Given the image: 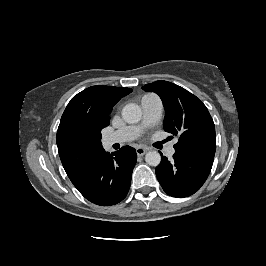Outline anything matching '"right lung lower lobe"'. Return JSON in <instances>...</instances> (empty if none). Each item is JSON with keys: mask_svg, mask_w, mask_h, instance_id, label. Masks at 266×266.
<instances>
[{"mask_svg": "<svg viewBox=\"0 0 266 266\" xmlns=\"http://www.w3.org/2000/svg\"><path fill=\"white\" fill-rule=\"evenodd\" d=\"M136 160V151L130 146H124L112 154L105 152L88 181L78 189L79 192L97 205L119 203L129 191Z\"/></svg>", "mask_w": 266, "mask_h": 266, "instance_id": "right-lung-lower-lobe-1", "label": "right lung lower lobe"}]
</instances>
